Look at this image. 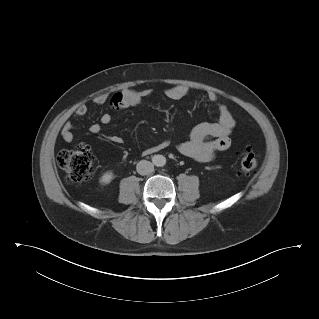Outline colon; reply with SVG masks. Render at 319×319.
I'll list each match as a JSON object with an SVG mask.
<instances>
[{"label":"colon","mask_w":319,"mask_h":319,"mask_svg":"<svg viewBox=\"0 0 319 319\" xmlns=\"http://www.w3.org/2000/svg\"><path fill=\"white\" fill-rule=\"evenodd\" d=\"M121 95L117 94L112 99L115 109H121ZM58 165L64 170L67 180L73 183L88 182L94 175L95 156L91 148L79 144L71 150L61 152L57 158ZM258 165L257 154L246 149L240 153V166L238 174L243 176L256 169Z\"/></svg>","instance_id":"1"}]
</instances>
